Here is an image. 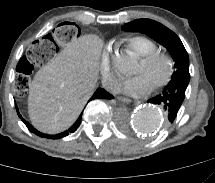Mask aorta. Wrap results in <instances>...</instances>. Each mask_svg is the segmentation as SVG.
I'll return each mask as SVG.
<instances>
[{"instance_id":"1","label":"aorta","mask_w":215,"mask_h":183,"mask_svg":"<svg viewBox=\"0 0 215 183\" xmlns=\"http://www.w3.org/2000/svg\"><path fill=\"white\" fill-rule=\"evenodd\" d=\"M134 63L128 54H121L113 60L114 67L120 72H128ZM164 122L163 113L156 107L145 106L139 108L132 117V124L136 131L153 134L157 132Z\"/></svg>"}]
</instances>
